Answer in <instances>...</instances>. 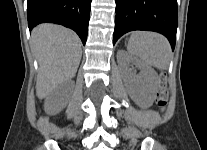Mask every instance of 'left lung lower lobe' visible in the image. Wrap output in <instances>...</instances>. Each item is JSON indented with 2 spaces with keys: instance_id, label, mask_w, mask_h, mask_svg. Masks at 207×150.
I'll list each match as a JSON object with an SVG mask.
<instances>
[{
  "instance_id": "obj_1",
  "label": "left lung lower lobe",
  "mask_w": 207,
  "mask_h": 150,
  "mask_svg": "<svg viewBox=\"0 0 207 150\" xmlns=\"http://www.w3.org/2000/svg\"><path fill=\"white\" fill-rule=\"evenodd\" d=\"M177 24L176 0H116L113 44L129 31L147 30L166 36L174 50Z\"/></svg>"
}]
</instances>
